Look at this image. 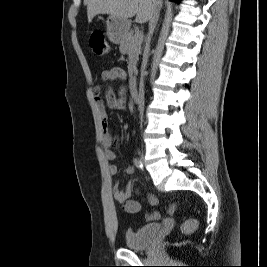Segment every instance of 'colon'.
<instances>
[{
  "mask_svg": "<svg viewBox=\"0 0 267 267\" xmlns=\"http://www.w3.org/2000/svg\"><path fill=\"white\" fill-rule=\"evenodd\" d=\"M90 46L93 49V51L98 55H106L109 52V44L104 38L103 34L101 32H95L90 37ZM175 204H172L169 207V212L171 213L174 208ZM158 214L154 213L150 216V218H157ZM197 222L194 219H188L186 220L182 226L181 231L183 234H191L196 229Z\"/></svg>",
  "mask_w": 267,
  "mask_h": 267,
  "instance_id": "1",
  "label": "colon"
}]
</instances>
